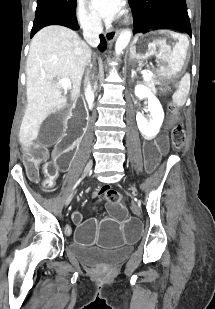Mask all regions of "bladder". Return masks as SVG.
<instances>
[{
	"mask_svg": "<svg viewBox=\"0 0 215 309\" xmlns=\"http://www.w3.org/2000/svg\"><path fill=\"white\" fill-rule=\"evenodd\" d=\"M71 252L77 260L87 266L91 267H113L121 263L128 255L127 248H120L110 251L98 249H78L70 247Z\"/></svg>",
	"mask_w": 215,
	"mask_h": 309,
	"instance_id": "obj_1",
	"label": "bladder"
}]
</instances>
